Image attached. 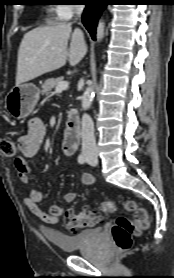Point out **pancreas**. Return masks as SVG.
Listing matches in <instances>:
<instances>
[{"label":"pancreas","instance_id":"1","mask_svg":"<svg viewBox=\"0 0 174 278\" xmlns=\"http://www.w3.org/2000/svg\"><path fill=\"white\" fill-rule=\"evenodd\" d=\"M63 81V77H58L57 79H47L43 84H42V94L47 95L49 94L53 88H55L60 82Z\"/></svg>","mask_w":174,"mask_h":278}]
</instances>
